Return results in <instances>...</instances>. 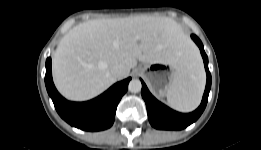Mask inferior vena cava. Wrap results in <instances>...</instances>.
Here are the masks:
<instances>
[{"label": "inferior vena cava", "mask_w": 261, "mask_h": 150, "mask_svg": "<svg viewBox=\"0 0 261 150\" xmlns=\"http://www.w3.org/2000/svg\"><path fill=\"white\" fill-rule=\"evenodd\" d=\"M128 72V68L123 65V64H115L111 68V73L114 75L116 78H122L124 77Z\"/></svg>", "instance_id": "602c4592"}]
</instances>
